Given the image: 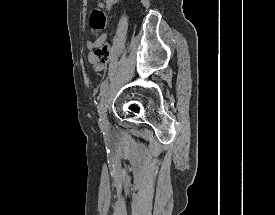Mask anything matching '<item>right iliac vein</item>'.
<instances>
[{"instance_id":"obj_1","label":"right iliac vein","mask_w":275,"mask_h":215,"mask_svg":"<svg viewBox=\"0 0 275 215\" xmlns=\"http://www.w3.org/2000/svg\"><path fill=\"white\" fill-rule=\"evenodd\" d=\"M110 91H111L110 88L106 89L98 105V111L102 117V122L104 125L107 124V106H108Z\"/></svg>"}]
</instances>
